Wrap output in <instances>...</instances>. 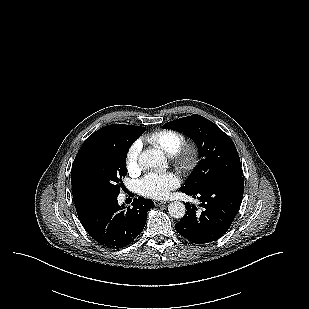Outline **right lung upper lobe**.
<instances>
[{
    "label": "right lung upper lobe",
    "mask_w": 309,
    "mask_h": 309,
    "mask_svg": "<svg viewBox=\"0 0 309 309\" xmlns=\"http://www.w3.org/2000/svg\"><path fill=\"white\" fill-rule=\"evenodd\" d=\"M124 127H139V126L124 125V124H113L105 126L94 132L92 135H90L81 146L80 150L78 151L75 157L71 170V184L73 189V198L76 207H79L93 199V197L88 193L83 171L84 163L88 153L97 143L113 136L115 133H117Z\"/></svg>",
    "instance_id": "1"
}]
</instances>
